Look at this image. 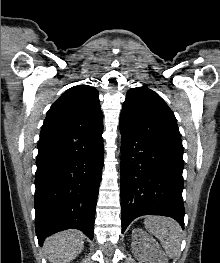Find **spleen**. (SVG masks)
<instances>
[{
    "label": "spleen",
    "instance_id": "1",
    "mask_svg": "<svg viewBox=\"0 0 220 263\" xmlns=\"http://www.w3.org/2000/svg\"><path fill=\"white\" fill-rule=\"evenodd\" d=\"M144 225L150 234L158 238L170 258L180 255L182 229L175 220L161 216H148L144 220Z\"/></svg>",
    "mask_w": 220,
    "mask_h": 263
}]
</instances>
